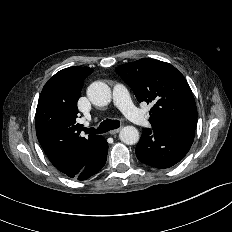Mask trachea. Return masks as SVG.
<instances>
[{
    "mask_svg": "<svg viewBox=\"0 0 232 232\" xmlns=\"http://www.w3.org/2000/svg\"><path fill=\"white\" fill-rule=\"evenodd\" d=\"M120 126V121L118 120H111L106 119L100 123L97 129L95 128H85L84 131L86 133H94V134H101L106 133L109 130L117 129Z\"/></svg>",
    "mask_w": 232,
    "mask_h": 232,
    "instance_id": "1",
    "label": "trachea"
}]
</instances>
